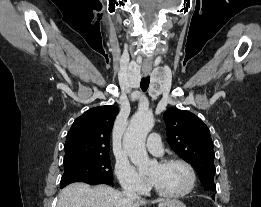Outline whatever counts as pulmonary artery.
Returning a JSON list of instances; mask_svg holds the SVG:
<instances>
[{
    "instance_id": "obj_1",
    "label": "pulmonary artery",
    "mask_w": 261,
    "mask_h": 207,
    "mask_svg": "<svg viewBox=\"0 0 261 207\" xmlns=\"http://www.w3.org/2000/svg\"><path fill=\"white\" fill-rule=\"evenodd\" d=\"M147 149L151 154L160 156L163 154L161 140L158 134L152 133L147 139Z\"/></svg>"
}]
</instances>
